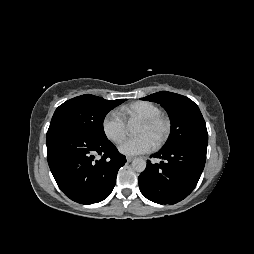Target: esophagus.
Instances as JSON below:
<instances>
[{"label":"esophagus","instance_id":"34e87169","mask_svg":"<svg viewBox=\"0 0 254 254\" xmlns=\"http://www.w3.org/2000/svg\"><path fill=\"white\" fill-rule=\"evenodd\" d=\"M133 159V157H126L127 162H131Z\"/></svg>","mask_w":254,"mask_h":254}]
</instances>
